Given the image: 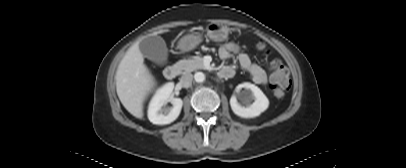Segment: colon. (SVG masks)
<instances>
[{
    "mask_svg": "<svg viewBox=\"0 0 406 168\" xmlns=\"http://www.w3.org/2000/svg\"><path fill=\"white\" fill-rule=\"evenodd\" d=\"M258 49L261 51L265 50L264 44H259ZM272 74H271V90L274 96L282 97L287 89L289 88V75L287 69L281 63L280 60H273L270 64Z\"/></svg>",
    "mask_w": 406,
    "mask_h": 168,
    "instance_id": "obj_1",
    "label": "colon"
}]
</instances>
